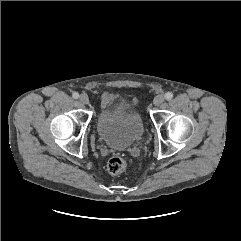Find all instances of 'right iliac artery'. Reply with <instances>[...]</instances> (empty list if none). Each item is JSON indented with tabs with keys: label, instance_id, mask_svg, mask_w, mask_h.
Listing matches in <instances>:
<instances>
[{
	"label": "right iliac artery",
	"instance_id": "obj_1",
	"mask_svg": "<svg viewBox=\"0 0 241 241\" xmlns=\"http://www.w3.org/2000/svg\"><path fill=\"white\" fill-rule=\"evenodd\" d=\"M72 97H73L74 99H78L79 94H78L77 92H74V93L72 94Z\"/></svg>",
	"mask_w": 241,
	"mask_h": 241
}]
</instances>
